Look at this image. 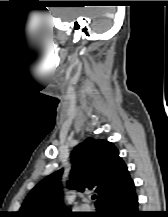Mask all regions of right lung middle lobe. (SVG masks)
Wrapping results in <instances>:
<instances>
[{"mask_svg": "<svg viewBox=\"0 0 168 217\" xmlns=\"http://www.w3.org/2000/svg\"><path fill=\"white\" fill-rule=\"evenodd\" d=\"M76 215L77 214H73V215H57V216H54V217H77Z\"/></svg>", "mask_w": 168, "mask_h": 217, "instance_id": "obj_1", "label": "right lung middle lobe"}]
</instances>
